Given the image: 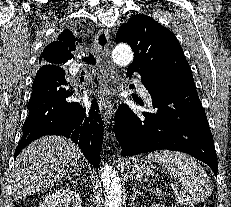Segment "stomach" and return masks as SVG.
Instances as JSON below:
<instances>
[{"mask_svg":"<svg viewBox=\"0 0 231 207\" xmlns=\"http://www.w3.org/2000/svg\"><path fill=\"white\" fill-rule=\"evenodd\" d=\"M155 167L146 158H133L128 162L127 171L131 178L147 181L154 175Z\"/></svg>","mask_w":231,"mask_h":207,"instance_id":"stomach-1","label":"stomach"}]
</instances>
